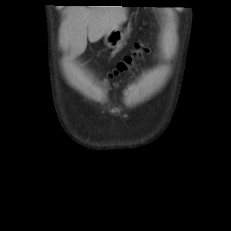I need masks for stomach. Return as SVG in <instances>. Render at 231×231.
Segmentation results:
<instances>
[{"instance_id":"1","label":"stomach","mask_w":231,"mask_h":231,"mask_svg":"<svg viewBox=\"0 0 231 231\" xmlns=\"http://www.w3.org/2000/svg\"><path fill=\"white\" fill-rule=\"evenodd\" d=\"M127 32L123 33L122 29L119 27L110 33L106 34L104 37V43L110 47H116L123 40Z\"/></svg>"}]
</instances>
